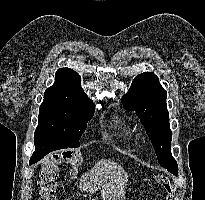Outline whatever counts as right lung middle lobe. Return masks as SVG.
Wrapping results in <instances>:
<instances>
[{
	"label": "right lung middle lobe",
	"instance_id": "1",
	"mask_svg": "<svg viewBox=\"0 0 205 200\" xmlns=\"http://www.w3.org/2000/svg\"><path fill=\"white\" fill-rule=\"evenodd\" d=\"M93 101L74 89L52 85L40 106L36 137L52 136L65 147L79 146L87 122L94 115Z\"/></svg>",
	"mask_w": 205,
	"mask_h": 200
}]
</instances>
